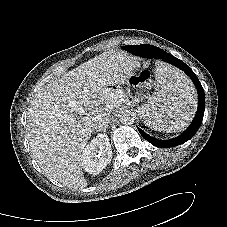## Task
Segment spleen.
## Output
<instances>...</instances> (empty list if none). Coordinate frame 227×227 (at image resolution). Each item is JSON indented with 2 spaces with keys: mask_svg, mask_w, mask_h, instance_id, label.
<instances>
[{
  "mask_svg": "<svg viewBox=\"0 0 227 227\" xmlns=\"http://www.w3.org/2000/svg\"><path fill=\"white\" fill-rule=\"evenodd\" d=\"M155 76L156 91L138 113L151 129L181 131L192 120L196 110L194 88L184 74L168 65H158Z\"/></svg>",
  "mask_w": 227,
  "mask_h": 227,
  "instance_id": "1",
  "label": "spleen"
}]
</instances>
